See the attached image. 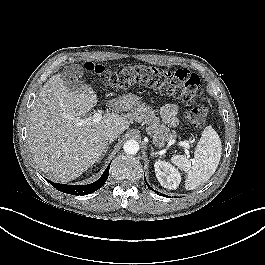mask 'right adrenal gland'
I'll use <instances>...</instances> for the list:
<instances>
[{"mask_svg":"<svg viewBox=\"0 0 265 265\" xmlns=\"http://www.w3.org/2000/svg\"><path fill=\"white\" fill-rule=\"evenodd\" d=\"M112 142H113L112 140L109 141V143H108V145H107V147H106L104 153H103L102 156L100 157V160L105 156V154L107 153V151H108V149H109V146H110V144H111Z\"/></svg>","mask_w":265,"mask_h":265,"instance_id":"1","label":"right adrenal gland"}]
</instances>
